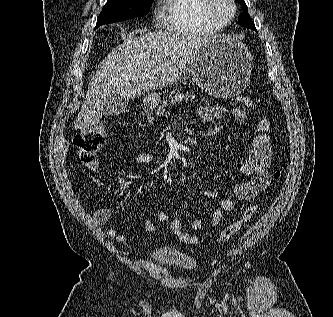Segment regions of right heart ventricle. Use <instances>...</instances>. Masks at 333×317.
I'll return each mask as SVG.
<instances>
[{
	"label": "right heart ventricle",
	"instance_id": "1",
	"mask_svg": "<svg viewBox=\"0 0 333 317\" xmlns=\"http://www.w3.org/2000/svg\"><path fill=\"white\" fill-rule=\"evenodd\" d=\"M204 0H162L159 15L166 30L185 36L212 35L224 27L203 12Z\"/></svg>",
	"mask_w": 333,
	"mask_h": 317
}]
</instances>
